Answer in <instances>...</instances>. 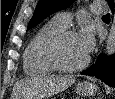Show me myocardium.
<instances>
[{"instance_id":"f54148a6","label":"myocardium","mask_w":115,"mask_h":99,"mask_svg":"<svg viewBox=\"0 0 115 99\" xmlns=\"http://www.w3.org/2000/svg\"><path fill=\"white\" fill-rule=\"evenodd\" d=\"M77 35L73 30L64 29L50 37L44 45L43 55L47 63L55 70L60 72H76L87 66L89 56L87 55L83 62L74 66L63 64L58 57V48L61 43L70 36Z\"/></svg>"}]
</instances>
